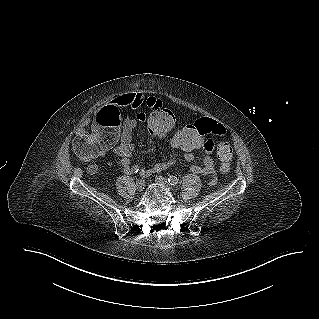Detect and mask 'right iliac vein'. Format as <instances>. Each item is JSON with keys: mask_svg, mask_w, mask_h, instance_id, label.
Listing matches in <instances>:
<instances>
[{"mask_svg": "<svg viewBox=\"0 0 319 319\" xmlns=\"http://www.w3.org/2000/svg\"><path fill=\"white\" fill-rule=\"evenodd\" d=\"M135 187H136V190H137L138 192L143 191L144 188H145V181L142 180V179L137 180V181H136V184H135Z\"/></svg>", "mask_w": 319, "mask_h": 319, "instance_id": "right-iliac-vein-1", "label": "right iliac vein"}]
</instances>
